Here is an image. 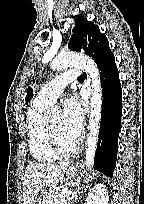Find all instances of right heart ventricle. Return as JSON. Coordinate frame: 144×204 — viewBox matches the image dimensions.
Wrapping results in <instances>:
<instances>
[{
    "instance_id": "1",
    "label": "right heart ventricle",
    "mask_w": 144,
    "mask_h": 204,
    "mask_svg": "<svg viewBox=\"0 0 144 204\" xmlns=\"http://www.w3.org/2000/svg\"><path fill=\"white\" fill-rule=\"evenodd\" d=\"M48 106L34 101L28 113V144L32 157L41 163L54 162L59 155L53 150L47 134Z\"/></svg>"
}]
</instances>
